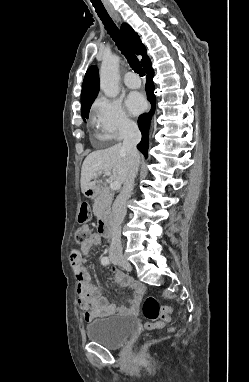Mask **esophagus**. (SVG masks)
Wrapping results in <instances>:
<instances>
[{
	"mask_svg": "<svg viewBox=\"0 0 249 382\" xmlns=\"http://www.w3.org/2000/svg\"><path fill=\"white\" fill-rule=\"evenodd\" d=\"M105 6L108 10V12L111 14V16L117 21V22H121V19L119 17V14L117 13V11L113 8V6L109 3H105Z\"/></svg>",
	"mask_w": 249,
	"mask_h": 382,
	"instance_id": "1",
	"label": "esophagus"
}]
</instances>
